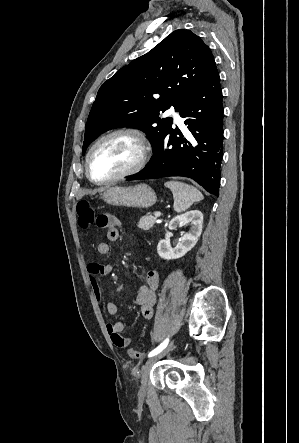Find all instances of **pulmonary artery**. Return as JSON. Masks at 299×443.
Segmentation results:
<instances>
[{
    "label": "pulmonary artery",
    "mask_w": 299,
    "mask_h": 443,
    "mask_svg": "<svg viewBox=\"0 0 299 443\" xmlns=\"http://www.w3.org/2000/svg\"><path fill=\"white\" fill-rule=\"evenodd\" d=\"M167 115L172 117V119H173L175 124H177V125H181L182 124L183 121H182L181 116L173 108L168 110Z\"/></svg>",
    "instance_id": "e3ab8cb5"
}]
</instances>
